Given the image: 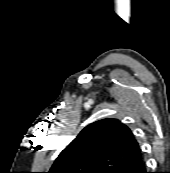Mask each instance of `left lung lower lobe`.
<instances>
[{
    "instance_id": "1",
    "label": "left lung lower lobe",
    "mask_w": 170,
    "mask_h": 173,
    "mask_svg": "<svg viewBox=\"0 0 170 173\" xmlns=\"http://www.w3.org/2000/svg\"><path fill=\"white\" fill-rule=\"evenodd\" d=\"M116 173H148L142 156L128 162L122 166Z\"/></svg>"
}]
</instances>
